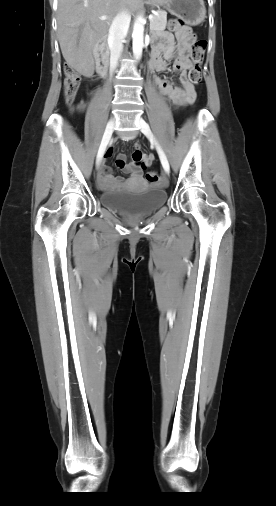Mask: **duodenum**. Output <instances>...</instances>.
Returning a JSON list of instances; mask_svg holds the SVG:
<instances>
[{"instance_id":"410a0bca","label":"duodenum","mask_w":276,"mask_h":506,"mask_svg":"<svg viewBox=\"0 0 276 506\" xmlns=\"http://www.w3.org/2000/svg\"><path fill=\"white\" fill-rule=\"evenodd\" d=\"M106 44H107V37L104 36L97 42L95 48L97 69L101 74H105L109 66V54L107 51Z\"/></svg>"}]
</instances>
